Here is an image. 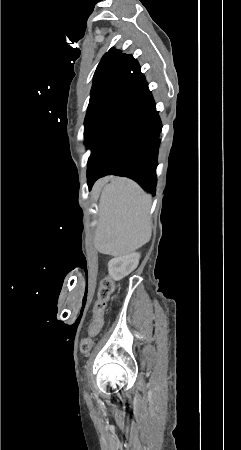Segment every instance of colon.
I'll list each match as a JSON object with an SVG mask.
<instances>
[{
  "instance_id": "colon-1",
  "label": "colon",
  "mask_w": 241,
  "mask_h": 450,
  "mask_svg": "<svg viewBox=\"0 0 241 450\" xmlns=\"http://www.w3.org/2000/svg\"><path fill=\"white\" fill-rule=\"evenodd\" d=\"M114 284L113 281L106 277L102 280V286L100 288L97 301L92 306L93 320L89 323L90 330H99L103 323L102 316L106 312L105 303L113 292ZM93 348V341L90 338H85L81 341V347L79 348V353L81 355H86L90 353Z\"/></svg>"
}]
</instances>
